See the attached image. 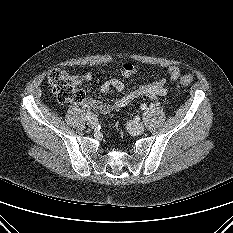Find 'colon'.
<instances>
[{
  "mask_svg": "<svg viewBox=\"0 0 233 233\" xmlns=\"http://www.w3.org/2000/svg\"><path fill=\"white\" fill-rule=\"evenodd\" d=\"M191 75H184L180 79L181 85L192 82ZM48 84L61 103H79L84 100V93L76 86V80L64 69H54L48 75Z\"/></svg>",
  "mask_w": 233,
  "mask_h": 233,
  "instance_id": "5ec220e1",
  "label": "colon"
}]
</instances>
